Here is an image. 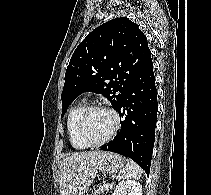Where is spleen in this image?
Masks as SVG:
<instances>
[{
	"label": "spleen",
	"mask_w": 211,
	"mask_h": 195,
	"mask_svg": "<svg viewBox=\"0 0 211 195\" xmlns=\"http://www.w3.org/2000/svg\"><path fill=\"white\" fill-rule=\"evenodd\" d=\"M142 174V169L132 160H127L125 168L120 171V176L123 178L139 179Z\"/></svg>",
	"instance_id": "obj_1"
}]
</instances>
